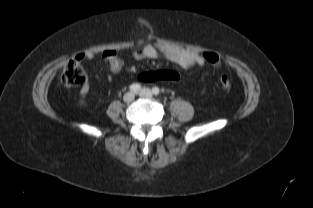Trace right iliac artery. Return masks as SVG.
Listing matches in <instances>:
<instances>
[{
  "instance_id": "right-iliac-artery-1",
  "label": "right iliac artery",
  "mask_w": 313,
  "mask_h": 208,
  "mask_svg": "<svg viewBox=\"0 0 313 208\" xmlns=\"http://www.w3.org/2000/svg\"><path fill=\"white\" fill-rule=\"evenodd\" d=\"M141 89V86L139 84H132L130 87H129V90L131 92H138L139 90Z\"/></svg>"
}]
</instances>
